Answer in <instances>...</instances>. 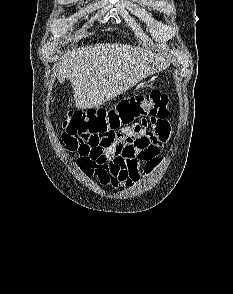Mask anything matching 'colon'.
I'll list each match as a JSON object with an SVG mask.
<instances>
[{
  "label": "colon",
  "mask_w": 233,
  "mask_h": 294,
  "mask_svg": "<svg viewBox=\"0 0 233 294\" xmlns=\"http://www.w3.org/2000/svg\"><path fill=\"white\" fill-rule=\"evenodd\" d=\"M168 115L166 94L152 91L124 99L113 109L70 112L64 122L63 140L68 150L81 157H100L105 149H120L133 142L131 137H125V132H131L130 123L134 120H140V117L167 118Z\"/></svg>",
  "instance_id": "colon-1"
}]
</instances>
